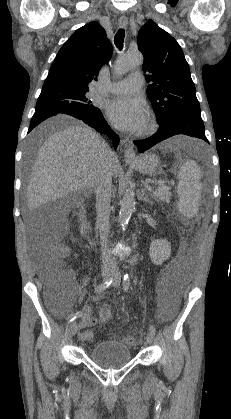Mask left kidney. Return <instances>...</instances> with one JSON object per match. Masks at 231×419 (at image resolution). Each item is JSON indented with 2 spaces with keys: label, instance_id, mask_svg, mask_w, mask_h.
Instances as JSON below:
<instances>
[{
  "label": "left kidney",
  "instance_id": "5707ae66",
  "mask_svg": "<svg viewBox=\"0 0 231 419\" xmlns=\"http://www.w3.org/2000/svg\"><path fill=\"white\" fill-rule=\"evenodd\" d=\"M149 255L154 265H162L171 255L170 243L165 239L153 240L150 244Z\"/></svg>",
  "mask_w": 231,
  "mask_h": 419
}]
</instances>
